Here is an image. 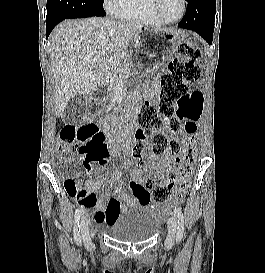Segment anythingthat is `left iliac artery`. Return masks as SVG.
Here are the masks:
<instances>
[{"label": "left iliac artery", "instance_id": "1", "mask_svg": "<svg viewBox=\"0 0 265 273\" xmlns=\"http://www.w3.org/2000/svg\"><path fill=\"white\" fill-rule=\"evenodd\" d=\"M174 215L177 217V221H178L176 240H177V242H180L181 239L183 238L184 229H185L184 228V216L182 214V211L177 207L174 208Z\"/></svg>", "mask_w": 265, "mask_h": 273}]
</instances>
